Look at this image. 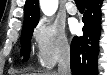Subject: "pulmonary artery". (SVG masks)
Here are the masks:
<instances>
[{
    "label": "pulmonary artery",
    "instance_id": "obj_1",
    "mask_svg": "<svg viewBox=\"0 0 107 75\" xmlns=\"http://www.w3.org/2000/svg\"><path fill=\"white\" fill-rule=\"evenodd\" d=\"M66 8H67L68 13L71 15H75L78 12L76 5L71 1L67 2Z\"/></svg>",
    "mask_w": 107,
    "mask_h": 75
}]
</instances>
